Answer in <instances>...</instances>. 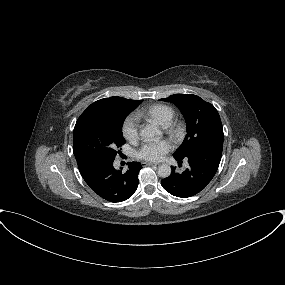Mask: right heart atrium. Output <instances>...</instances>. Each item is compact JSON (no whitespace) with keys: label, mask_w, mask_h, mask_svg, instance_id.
Masks as SVG:
<instances>
[{"label":"right heart atrium","mask_w":285,"mask_h":285,"mask_svg":"<svg viewBox=\"0 0 285 285\" xmlns=\"http://www.w3.org/2000/svg\"><path fill=\"white\" fill-rule=\"evenodd\" d=\"M121 131L123 137L130 141L135 142L139 137V119L134 114H129L122 123Z\"/></svg>","instance_id":"d8ad5b80"}]
</instances>
